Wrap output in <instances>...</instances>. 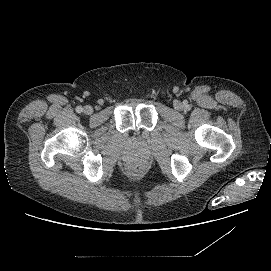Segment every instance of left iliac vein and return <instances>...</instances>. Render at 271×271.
I'll return each instance as SVG.
<instances>
[{
    "label": "left iliac vein",
    "mask_w": 271,
    "mask_h": 271,
    "mask_svg": "<svg viewBox=\"0 0 271 271\" xmlns=\"http://www.w3.org/2000/svg\"><path fill=\"white\" fill-rule=\"evenodd\" d=\"M180 107H181L180 103L177 102V103L175 104V108H180Z\"/></svg>",
    "instance_id": "left-iliac-vein-1"
}]
</instances>
